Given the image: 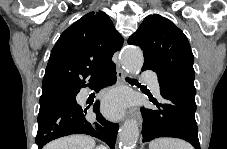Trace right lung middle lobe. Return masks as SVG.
<instances>
[{
  "label": "right lung middle lobe",
  "mask_w": 227,
  "mask_h": 149,
  "mask_svg": "<svg viewBox=\"0 0 227 149\" xmlns=\"http://www.w3.org/2000/svg\"><path fill=\"white\" fill-rule=\"evenodd\" d=\"M78 89V87L69 85H54L43 88L39 113L58 103H76L75 96L78 93Z\"/></svg>",
  "instance_id": "1"
}]
</instances>
